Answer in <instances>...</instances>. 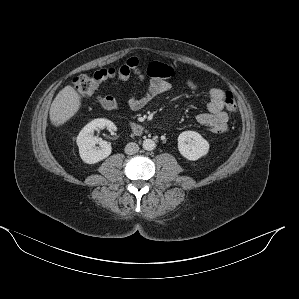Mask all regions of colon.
<instances>
[{"label": "colon", "mask_w": 299, "mask_h": 299, "mask_svg": "<svg viewBox=\"0 0 299 299\" xmlns=\"http://www.w3.org/2000/svg\"><path fill=\"white\" fill-rule=\"evenodd\" d=\"M114 69H104L92 75L81 74L73 78V89L80 99H85L98 90L104 81L114 74ZM224 104L229 112H236L237 105L235 96L231 92H226Z\"/></svg>", "instance_id": "1"}]
</instances>
